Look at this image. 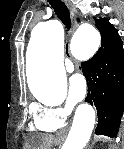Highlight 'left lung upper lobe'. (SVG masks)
I'll use <instances>...</instances> for the list:
<instances>
[{"label":"left lung upper lobe","instance_id":"5c2ea615","mask_svg":"<svg viewBox=\"0 0 124 149\" xmlns=\"http://www.w3.org/2000/svg\"><path fill=\"white\" fill-rule=\"evenodd\" d=\"M97 28L101 32V36L117 35V30L106 18H101L96 23Z\"/></svg>","mask_w":124,"mask_h":149}]
</instances>
